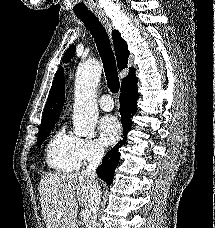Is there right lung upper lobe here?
I'll list each match as a JSON object with an SVG mask.
<instances>
[{
    "label": "right lung upper lobe",
    "instance_id": "obj_1",
    "mask_svg": "<svg viewBox=\"0 0 215 228\" xmlns=\"http://www.w3.org/2000/svg\"><path fill=\"white\" fill-rule=\"evenodd\" d=\"M112 38L114 42L115 55L117 58V65L119 70H122L127 67V60L129 57L128 46L118 31L114 30L112 32ZM134 73L135 70L130 68L127 76ZM64 98V72L62 68H59L55 75L54 82L44 108L41 124L52 123L58 120L60 112L63 108Z\"/></svg>",
    "mask_w": 215,
    "mask_h": 228
}]
</instances>
